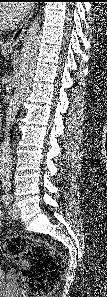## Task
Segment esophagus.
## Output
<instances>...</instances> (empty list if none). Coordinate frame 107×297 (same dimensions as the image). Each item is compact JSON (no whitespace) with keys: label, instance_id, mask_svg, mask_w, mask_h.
<instances>
[{"label":"esophagus","instance_id":"34e87169","mask_svg":"<svg viewBox=\"0 0 107 297\" xmlns=\"http://www.w3.org/2000/svg\"><path fill=\"white\" fill-rule=\"evenodd\" d=\"M35 8V5L33 4L31 6V11L29 16L27 17V19L9 36V38L7 39L6 43H5V47L7 48H14L19 41L21 40V38L23 37L26 27L28 25V21L31 17V15L33 14V10Z\"/></svg>","mask_w":107,"mask_h":297}]
</instances>
